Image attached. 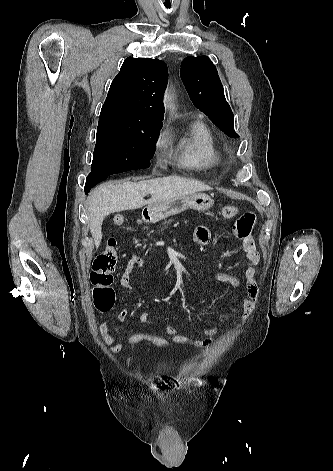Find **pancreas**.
Masks as SVG:
<instances>
[{"label":"pancreas","mask_w":333,"mask_h":471,"mask_svg":"<svg viewBox=\"0 0 333 471\" xmlns=\"http://www.w3.org/2000/svg\"><path fill=\"white\" fill-rule=\"evenodd\" d=\"M167 224H170V221H165V223H164V225H165V226H164V229L167 228V226H166ZM162 230H163V228L161 229V231H162Z\"/></svg>","instance_id":"cf45deb5"}]
</instances>
